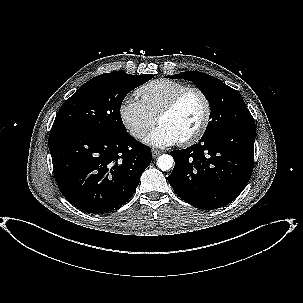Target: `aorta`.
Wrapping results in <instances>:
<instances>
[{
	"label": "aorta",
	"instance_id": "1",
	"mask_svg": "<svg viewBox=\"0 0 303 303\" xmlns=\"http://www.w3.org/2000/svg\"><path fill=\"white\" fill-rule=\"evenodd\" d=\"M174 159L171 155L163 154L157 160V166L162 171H168L172 168Z\"/></svg>",
	"mask_w": 303,
	"mask_h": 303
}]
</instances>
